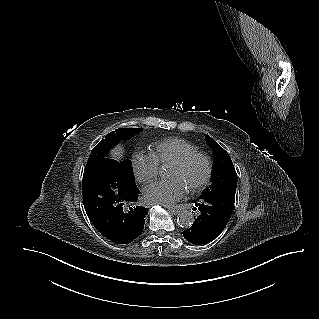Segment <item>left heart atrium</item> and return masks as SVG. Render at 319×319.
<instances>
[{"label":"left heart atrium","instance_id":"39dd6f15","mask_svg":"<svg viewBox=\"0 0 319 319\" xmlns=\"http://www.w3.org/2000/svg\"><path fill=\"white\" fill-rule=\"evenodd\" d=\"M187 190L180 179L155 182L143 190L144 201L149 205H171L180 200Z\"/></svg>","mask_w":319,"mask_h":319}]
</instances>
